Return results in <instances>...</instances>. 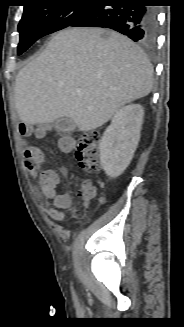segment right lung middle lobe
<instances>
[{"instance_id":"obj_1","label":"right lung middle lobe","mask_w":184,"mask_h":327,"mask_svg":"<svg viewBox=\"0 0 184 327\" xmlns=\"http://www.w3.org/2000/svg\"><path fill=\"white\" fill-rule=\"evenodd\" d=\"M57 1L59 0L43 1L24 8L18 25L20 33L18 55L28 49L37 39L71 26L93 7L92 5L61 4Z\"/></svg>"}]
</instances>
